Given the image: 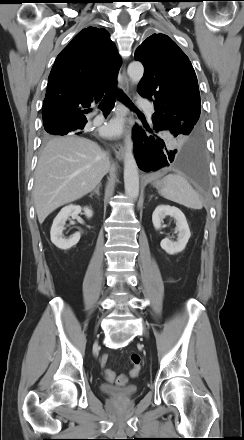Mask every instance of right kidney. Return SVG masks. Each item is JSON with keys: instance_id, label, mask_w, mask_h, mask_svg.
<instances>
[{"instance_id": "right-kidney-1", "label": "right kidney", "mask_w": 244, "mask_h": 440, "mask_svg": "<svg viewBox=\"0 0 244 440\" xmlns=\"http://www.w3.org/2000/svg\"><path fill=\"white\" fill-rule=\"evenodd\" d=\"M84 211L86 217L91 218L93 211L88 207L81 208L79 205H68L61 209L58 215L55 217L51 231L52 243L61 250H68L76 245L81 237L80 233H75L70 238H63L64 225L69 217L76 218L81 211Z\"/></svg>"}]
</instances>
